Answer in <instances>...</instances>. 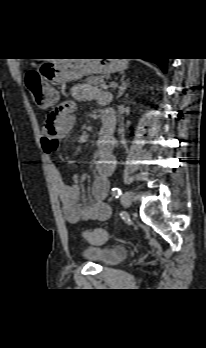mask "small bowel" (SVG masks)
<instances>
[{"instance_id": "obj_1", "label": "small bowel", "mask_w": 206, "mask_h": 348, "mask_svg": "<svg viewBox=\"0 0 206 348\" xmlns=\"http://www.w3.org/2000/svg\"><path fill=\"white\" fill-rule=\"evenodd\" d=\"M75 101H65L54 109L46 118L44 135L41 138V148L46 156V164L53 186L62 204L63 215L71 224L88 221L107 220L111 208L105 201L109 190V178L115 169V161L111 150L100 147L92 162L94 180L91 189L92 200L80 201L79 178L73 177L72 182L66 183L58 170L51 155L56 152L60 140L74 127L76 101L96 100L100 105L110 107L112 96L88 84H77L72 88Z\"/></svg>"}]
</instances>
